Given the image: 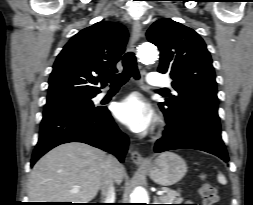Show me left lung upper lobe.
I'll list each match as a JSON object with an SVG mask.
<instances>
[{
	"mask_svg": "<svg viewBox=\"0 0 253 205\" xmlns=\"http://www.w3.org/2000/svg\"><path fill=\"white\" fill-rule=\"evenodd\" d=\"M147 38L160 50L158 71L171 76L178 92L160 103V108L172 117L201 107L218 110L214 68L202 38L169 18L156 21Z\"/></svg>",
	"mask_w": 253,
	"mask_h": 205,
	"instance_id": "obj_1",
	"label": "left lung upper lobe"
}]
</instances>
